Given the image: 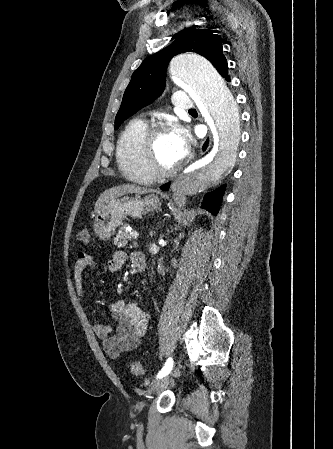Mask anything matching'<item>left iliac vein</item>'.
<instances>
[{"label":"left iliac vein","instance_id":"left-iliac-vein-1","mask_svg":"<svg viewBox=\"0 0 333 449\" xmlns=\"http://www.w3.org/2000/svg\"><path fill=\"white\" fill-rule=\"evenodd\" d=\"M169 377H170V375L168 374L162 378L154 379L148 387V393L154 394L155 392H157L160 389H162L163 387H165L166 384L168 383Z\"/></svg>","mask_w":333,"mask_h":449}]
</instances>
